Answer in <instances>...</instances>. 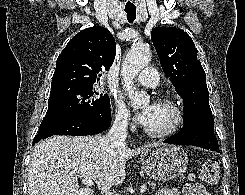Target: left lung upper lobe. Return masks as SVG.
<instances>
[{"instance_id":"left-lung-upper-lobe-1","label":"left lung upper lobe","mask_w":245,"mask_h":195,"mask_svg":"<svg viewBox=\"0 0 245 195\" xmlns=\"http://www.w3.org/2000/svg\"><path fill=\"white\" fill-rule=\"evenodd\" d=\"M151 40L165 75L183 98L185 124L214 126L206 74L197 60L198 51L191 37L179 28L167 27L153 29Z\"/></svg>"}]
</instances>
